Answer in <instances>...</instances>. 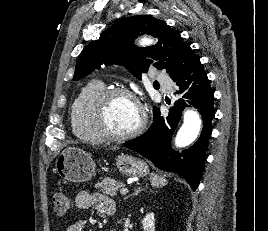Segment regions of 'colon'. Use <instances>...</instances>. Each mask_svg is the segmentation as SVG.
I'll use <instances>...</instances> for the list:
<instances>
[{
	"label": "colon",
	"mask_w": 268,
	"mask_h": 231,
	"mask_svg": "<svg viewBox=\"0 0 268 231\" xmlns=\"http://www.w3.org/2000/svg\"><path fill=\"white\" fill-rule=\"evenodd\" d=\"M54 212L57 215L65 214L70 208V199L62 192H57L53 196Z\"/></svg>",
	"instance_id": "obj_1"
}]
</instances>
